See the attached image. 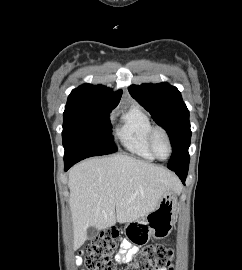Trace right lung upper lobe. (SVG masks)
Wrapping results in <instances>:
<instances>
[{"instance_id": "obj_1", "label": "right lung upper lobe", "mask_w": 242, "mask_h": 270, "mask_svg": "<svg viewBox=\"0 0 242 270\" xmlns=\"http://www.w3.org/2000/svg\"><path fill=\"white\" fill-rule=\"evenodd\" d=\"M122 91L112 92L102 85L83 84L72 90L68 97L65 111H95L114 108Z\"/></svg>"}]
</instances>
